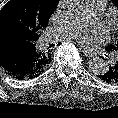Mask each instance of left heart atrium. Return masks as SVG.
I'll return each mask as SVG.
<instances>
[{"mask_svg": "<svg viewBox=\"0 0 118 118\" xmlns=\"http://www.w3.org/2000/svg\"><path fill=\"white\" fill-rule=\"evenodd\" d=\"M77 38L82 43L92 44L105 39V32L101 29L88 31L82 30L77 34Z\"/></svg>", "mask_w": 118, "mask_h": 118, "instance_id": "left-heart-atrium-1", "label": "left heart atrium"}]
</instances>
